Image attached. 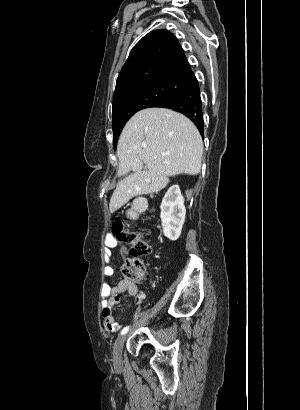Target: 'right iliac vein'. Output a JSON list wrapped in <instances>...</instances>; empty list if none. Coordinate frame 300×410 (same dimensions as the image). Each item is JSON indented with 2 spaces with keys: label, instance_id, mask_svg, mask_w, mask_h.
Wrapping results in <instances>:
<instances>
[{
  "label": "right iliac vein",
  "instance_id": "63e3f726",
  "mask_svg": "<svg viewBox=\"0 0 300 410\" xmlns=\"http://www.w3.org/2000/svg\"><path fill=\"white\" fill-rule=\"evenodd\" d=\"M126 336H121L119 337L115 344H114V349H113V361L115 364H119L122 359V350H123V345L125 342Z\"/></svg>",
  "mask_w": 300,
  "mask_h": 410
}]
</instances>
